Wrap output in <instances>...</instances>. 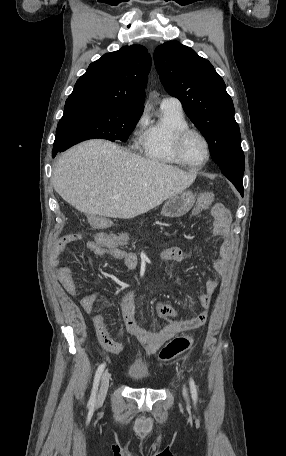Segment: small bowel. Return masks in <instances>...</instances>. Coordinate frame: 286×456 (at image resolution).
<instances>
[{"label": "small bowel", "instance_id": "small-bowel-1", "mask_svg": "<svg viewBox=\"0 0 286 456\" xmlns=\"http://www.w3.org/2000/svg\"><path fill=\"white\" fill-rule=\"evenodd\" d=\"M205 207L197 205L193 214H197ZM212 215L215 219L213 233L221 238L217 256L212 262L213 269L220 275H226L229 271L231 262V236H230V215L226 208L221 203H216L212 207ZM72 234L62 236L55 243L50 263L52 266L58 267L57 277L67 294L76 296L77 286L73 277L72 269L67 265H60L61 257L66 251L69 244L76 242L78 239H72ZM110 237L111 242L106 243L103 238ZM127 243V236L124 234H109L98 232L93 235L91 240L84 243V249L97 257L109 258L112 260L122 261L129 270H135L138 267L139 259L133 252L122 248ZM159 257L168 262L179 263L186 257L187 253L182 249L173 247L160 252ZM218 287V282L215 280H206L204 283V293L196 297L197 303L204 309L200 314L187 319H179L178 312L171 306L158 301L155 304V312L161 318L165 325L159 331H148L142 328L135 319L134 306V290L132 287L127 288L121 299L122 317L128 332L142 343L147 353H154L166 341L171 339L178 333L197 329L203 326L208 317V309L210 308L212 296ZM98 292L91 291L85 293L79 300V305L82 311L90 315L93 310L94 303L98 297ZM92 322L96 330L97 339L101 346L113 354H119L122 351V345L114 341L110 337L109 328L105 321L104 315L97 312L92 317Z\"/></svg>", "mask_w": 286, "mask_h": 456}]
</instances>
